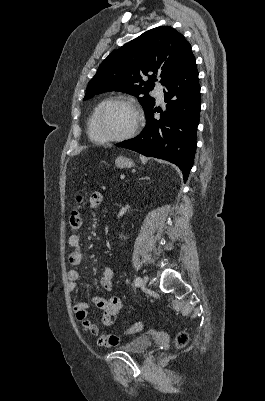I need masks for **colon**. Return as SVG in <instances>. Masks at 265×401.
Returning <instances> with one entry per match:
<instances>
[{
  "instance_id": "obj_1",
  "label": "colon",
  "mask_w": 265,
  "mask_h": 401,
  "mask_svg": "<svg viewBox=\"0 0 265 401\" xmlns=\"http://www.w3.org/2000/svg\"><path fill=\"white\" fill-rule=\"evenodd\" d=\"M83 201H84V197L82 195H79L77 197V202H78L79 206L70 213L69 226H70V229L73 231L79 230L82 225V213H81L80 205L83 203ZM142 329H143V323L137 322L133 326L125 329L124 333H126V334L135 333V332L141 331ZM175 341H176V344L178 347L185 346L188 342L187 333H185V332L178 333Z\"/></svg>"
}]
</instances>
